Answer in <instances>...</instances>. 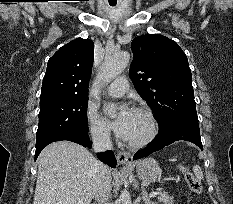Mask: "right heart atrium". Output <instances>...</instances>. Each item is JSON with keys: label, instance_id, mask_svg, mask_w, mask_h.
<instances>
[{"label": "right heart atrium", "instance_id": "d8ad5b80", "mask_svg": "<svg viewBox=\"0 0 233 204\" xmlns=\"http://www.w3.org/2000/svg\"><path fill=\"white\" fill-rule=\"evenodd\" d=\"M88 129L93 141L100 145H107L111 135L108 127L99 118L95 110L89 108L87 111Z\"/></svg>", "mask_w": 233, "mask_h": 204}]
</instances>
